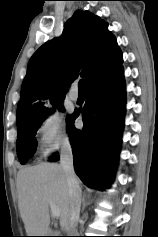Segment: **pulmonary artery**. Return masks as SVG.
I'll return each instance as SVG.
<instances>
[{
    "instance_id": "e3ab8cb5",
    "label": "pulmonary artery",
    "mask_w": 158,
    "mask_h": 237,
    "mask_svg": "<svg viewBox=\"0 0 158 237\" xmlns=\"http://www.w3.org/2000/svg\"><path fill=\"white\" fill-rule=\"evenodd\" d=\"M69 98L72 100V101H77L78 98H79V94L77 91H74V90H71L69 92Z\"/></svg>"
}]
</instances>
